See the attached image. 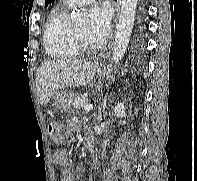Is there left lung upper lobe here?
<instances>
[{
  "label": "left lung upper lobe",
  "mask_w": 197,
  "mask_h": 181,
  "mask_svg": "<svg viewBox=\"0 0 197 181\" xmlns=\"http://www.w3.org/2000/svg\"><path fill=\"white\" fill-rule=\"evenodd\" d=\"M54 2V0H45V6H48V4Z\"/></svg>",
  "instance_id": "left-lung-upper-lobe-1"
}]
</instances>
